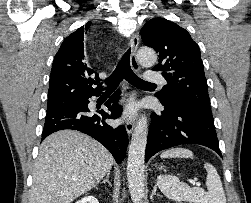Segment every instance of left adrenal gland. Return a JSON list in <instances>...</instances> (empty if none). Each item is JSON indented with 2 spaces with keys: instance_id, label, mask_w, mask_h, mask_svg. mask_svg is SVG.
I'll return each instance as SVG.
<instances>
[{
  "instance_id": "left-adrenal-gland-1",
  "label": "left adrenal gland",
  "mask_w": 251,
  "mask_h": 203,
  "mask_svg": "<svg viewBox=\"0 0 251 203\" xmlns=\"http://www.w3.org/2000/svg\"><path fill=\"white\" fill-rule=\"evenodd\" d=\"M156 189H157V185L154 186L152 194L150 196V198L152 199L154 195L160 196L159 194H156Z\"/></svg>"
}]
</instances>
